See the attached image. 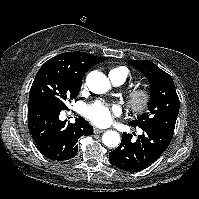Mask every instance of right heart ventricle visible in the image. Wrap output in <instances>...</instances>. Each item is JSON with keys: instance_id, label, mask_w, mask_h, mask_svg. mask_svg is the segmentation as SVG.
Here are the masks:
<instances>
[{"instance_id": "1", "label": "right heart ventricle", "mask_w": 199, "mask_h": 199, "mask_svg": "<svg viewBox=\"0 0 199 199\" xmlns=\"http://www.w3.org/2000/svg\"><path fill=\"white\" fill-rule=\"evenodd\" d=\"M110 73H115L117 76L121 77L123 80V83L126 81V79L128 77V70L126 67H123V66L114 67V68L110 69L109 74Z\"/></svg>"}]
</instances>
